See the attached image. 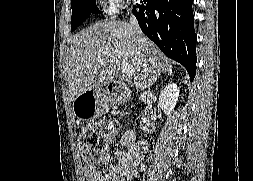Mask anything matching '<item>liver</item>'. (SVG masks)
I'll list each match as a JSON object with an SVG mask.
<instances>
[{
    "label": "liver",
    "mask_w": 253,
    "mask_h": 181,
    "mask_svg": "<svg viewBox=\"0 0 253 181\" xmlns=\"http://www.w3.org/2000/svg\"><path fill=\"white\" fill-rule=\"evenodd\" d=\"M122 61L134 67L133 80L144 89L172 70L169 59L144 35L124 21H98L77 33L69 49L71 100L109 84Z\"/></svg>",
    "instance_id": "6515ba94"
}]
</instances>
